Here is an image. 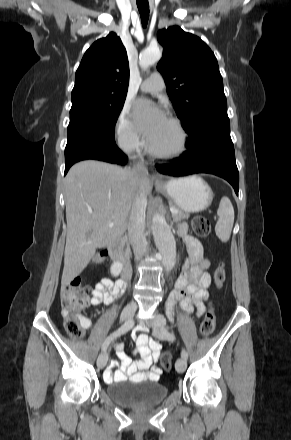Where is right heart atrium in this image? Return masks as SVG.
Returning a JSON list of instances; mask_svg holds the SVG:
<instances>
[{"mask_svg": "<svg viewBox=\"0 0 291 440\" xmlns=\"http://www.w3.org/2000/svg\"><path fill=\"white\" fill-rule=\"evenodd\" d=\"M115 138L118 147L126 153L135 152L141 144L139 134L128 116V108L126 106L123 107L117 119Z\"/></svg>", "mask_w": 291, "mask_h": 440, "instance_id": "1", "label": "right heart atrium"}]
</instances>
